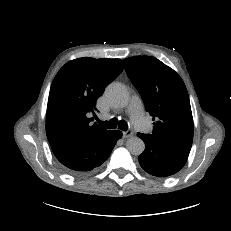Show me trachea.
Segmentation results:
<instances>
[{
    "instance_id": "1",
    "label": "trachea",
    "mask_w": 231,
    "mask_h": 231,
    "mask_svg": "<svg viewBox=\"0 0 231 231\" xmlns=\"http://www.w3.org/2000/svg\"><path fill=\"white\" fill-rule=\"evenodd\" d=\"M97 122L103 127L108 128V129H114L117 126L119 127V129L123 131H126L128 129V124L125 121L123 120L118 121L116 118H112L111 120L104 121V122L97 120Z\"/></svg>"
}]
</instances>
